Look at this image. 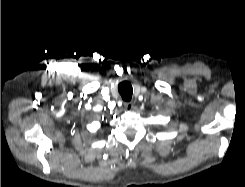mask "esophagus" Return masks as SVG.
<instances>
[{"label":"esophagus","mask_w":245,"mask_h":187,"mask_svg":"<svg viewBox=\"0 0 245 187\" xmlns=\"http://www.w3.org/2000/svg\"><path fill=\"white\" fill-rule=\"evenodd\" d=\"M124 106H125L127 111H131L134 107V103L133 102H125Z\"/></svg>","instance_id":"esophagus-1"}]
</instances>
